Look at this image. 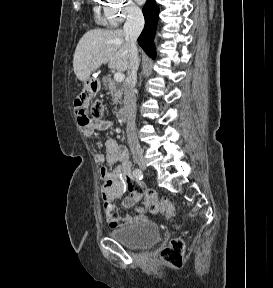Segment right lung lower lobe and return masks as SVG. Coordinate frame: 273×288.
<instances>
[{
  "instance_id": "1",
  "label": "right lung lower lobe",
  "mask_w": 273,
  "mask_h": 288,
  "mask_svg": "<svg viewBox=\"0 0 273 288\" xmlns=\"http://www.w3.org/2000/svg\"><path fill=\"white\" fill-rule=\"evenodd\" d=\"M159 7L155 0H147L143 7V15L145 17V27L138 38V43L142 49L152 58H155V48L153 45V37L156 30Z\"/></svg>"
}]
</instances>
